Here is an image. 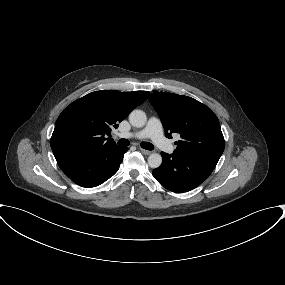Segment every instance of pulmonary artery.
Masks as SVG:
<instances>
[{
	"label": "pulmonary artery",
	"instance_id": "pulmonary-artery-1",
	"mask_svg": "<svg viewBox=\"0 0 285 285\" xmlns=\"http://www.w3.org/2000/svg\"><path fill=\"white\" fill-rule=\"evenodd\" d=\"M119 136L126 139L150 138L162 150L169 153L173 152V147L163 135L162 124L156 117H151L144 129L135 132L120 133Z\"/></svg>",
	"mask_w": 285,
	"mask_h": 285
}]
</instances>
